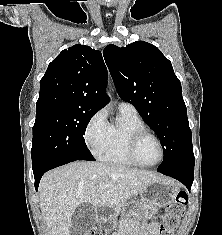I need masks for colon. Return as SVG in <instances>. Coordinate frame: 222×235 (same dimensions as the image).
<instances>
[{"label":"colon","mask_w":222,"mask_h":235,"mask_svg":"<svg viewBox=\"0 0 222 235\" xmlns=\"http://www.w3.org/2000/svg\"><path fill=\"white\" fill-rule=\"evenodd\" d=\"M188 202V195L185 191L177 193L174 202L167 208L158 235H173L177 223L185 213V206ZM87 235H102L99 232L91 231Z\"/></svg>","instance_id":"colon-1"}]
</instances>
